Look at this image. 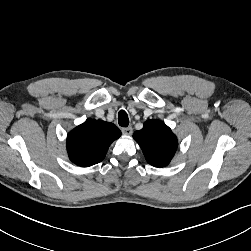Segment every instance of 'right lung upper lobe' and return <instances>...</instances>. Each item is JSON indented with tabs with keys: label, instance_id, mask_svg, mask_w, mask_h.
Instances as JSON below:
<instances>
[{
	"label": "right lung upper lobe",
	"instance_id": "cb5924a9",
	"mask_svg": "<svg viewBox=\"0 0 251 251\" xmlns=\"http://www.w3.org/2000/svg\"><path fill=\"white\" fill-rule=\"evenodd\" d=\"M120 136V129L113 123L87 119L67 136L69 158L81 167L99 163L104 159L111 143Z\"/></svg>",
	"mask_w": 251,
	"mask_h": 251
}]
</instances>
